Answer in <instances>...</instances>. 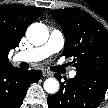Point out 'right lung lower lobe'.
I'll return each instance as SVG.
<instances>
[{
    "mask_svg": "<svg viewBox=\"0 0 108 108\" xmlns=\"http://www.w3.org/2000/svg\"><path fill=\"white\" fill-rule=\"evenodd\" d=\"M41 71L9 67L0 69V108H19L30 84L37 82Z\"/></svg>",
    "mask_w": 108,
    "mask_h": 108,
    "instance_id": "1",
    "label": "right lung lower lobe"
}]
</instances>
